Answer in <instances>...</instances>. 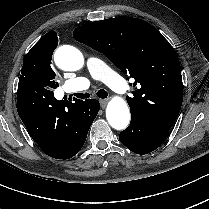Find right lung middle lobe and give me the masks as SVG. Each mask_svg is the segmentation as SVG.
Masks as SVG:
<instances>
[{
  "label": "right lung middle lobe",
  "instance_id": "1",
  "mask_svg": "<svg viewBox=\"0 0 209 209\" xmlns=\"http://www.w3.org/2000/svg\"><path fill=\"white\" fill-rule=\"evenodd\" d=\"M55 45L50 42L36 43L23 60L20 84L37 87L46 94L53 95L59 85L51 65Z\"/></svg>",
  "mask_w": 209,
  "mask_h": 209
}]
</instances>
